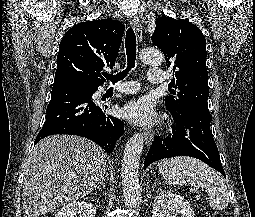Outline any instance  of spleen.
I'll return each mask as SVG.
<instances>
[{"label":"spleen","instance_id":"1","mask_svg":"<svg viewBox=\"0 0 255 217\" xmlns=\"http://www.w3.org/2000/svg\"><path fill=\"white\" fill-rule=\"evenodd\" d=\"M159 172L172 184L188 183L195 188L205 189L213 210L227 208L229 193L224 179L200 160L184 156L164 159L159 163Z\"/></svg>","mask_w":255,"mask_h":217}]
</instances>
